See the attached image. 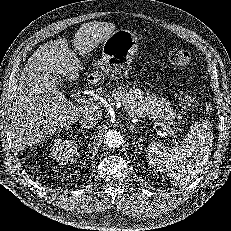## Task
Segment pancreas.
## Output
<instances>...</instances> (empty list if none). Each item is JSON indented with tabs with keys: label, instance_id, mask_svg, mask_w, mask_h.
<instances>
[{
	"label": "pancreas",
	"instance_id": "cf45deb5",
	"mask_svg": "<svg viewBox=\"0 0 231 231\" xmlns=\"http://www.w3.org/2000/svg\"><path fill=\"white\" fill-rule=\"evenodd\" d=\"M111 93L109 100L121 103L131 117L149 116L168 121L176 115L175 110L170 107V103L165 98H159L139 88L128 89L117 86Z\"/></svg>",
	"mask_w": 231,
	"mask_h": 231
}]
</instances>
